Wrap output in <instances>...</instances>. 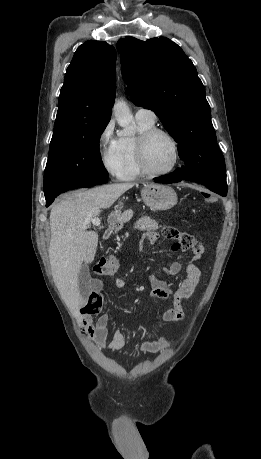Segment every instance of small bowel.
I'll return each mask as SVG.
<instances>
[{
  "label": "small bowel",
  "mask_w": 261,
  "mask_h": 459,
  "mask_svg": "<svg viewBox=\"0 0 261 459\" xmlns=\"http://www.w3.org/2000/svg\"><path fill=\"white\" fill-rule=\"evenodd\" d=\"M173 235L167 239L172 241L171 249L174 252L191 250L193 257L185 267V277L180 283L175 286H169L164 280V276H174L181 272L182 264L178 261L172 262L170 265L161 269L160 275H152L150 277L151 295L153 298L170 302V306L161 313V318L166 322H179L185 317V303L195 291L199 279L200 269L196 262L203 254V245L195 237L180 232L174 228ZM148 240L153 244L158 238L157 232H148ZM126 284V279L119 277L115 280V287L120 289ZM93 288L96 293H100L102 289V282L94 280ZM171 296L174 299L171 300ZM108 321L107 314L101 315L96 321L89 317H85L81 325V333L85 337H89L99 348H107L111 351L120 350L128 343L125 335L120 331H114L110 342L107 344L106 339L108 335ZM136 347L145 352L157 353L163 351L170 345L168 338L162 337L156 340H142L136 341Z\"/></svg>",
  "instance_id": "c3829d8e"
}]
</instances>
